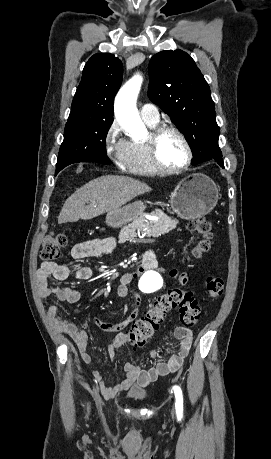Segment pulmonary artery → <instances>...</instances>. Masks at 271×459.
Returning a JSON list of instances; mask_svg holds the SVG:
<instances>
[{
	"mask_svg": "<svg viewBox=\"0 0 271 459\" xmlns=\"http://www.w3.org/2000/svg\"><path fill=\"white\" fill-rule=\"evenodd\" d=\"M140 115L143 120L152 124H158L160 121L159 109L151 103L144 104L140 108Z\"/></svg>",
	"mask_w": 271,
	"mask_h": 459,
	"instance_id": "pulmonary-artery-1",
	"label": "pulmonary artery"
}]
</instances>
